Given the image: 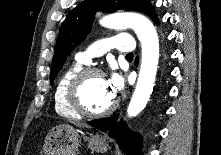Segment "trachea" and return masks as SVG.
<instances>
[{
	"label": "trachea",
	"mask_w": 221,
	"mask_h": 155,
	"mask_svg": "<svg viewBox=\"0 0 221 155\" xmlns=\"http://www.w3.org/2000/svg\"><path fill=\"white\" fill-rule=\"evenodd\" d=\"M126 58H133V53H129L126 55Z\"/></svg>",
	"instance_id": "3493384b"
}]
</instances>
